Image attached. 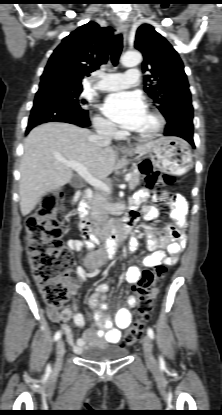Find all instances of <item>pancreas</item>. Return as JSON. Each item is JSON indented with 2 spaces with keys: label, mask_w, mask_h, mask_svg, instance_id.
I'll return each instance as SVG.
<instances>
[{
  "label": "pancreas",
  "mask_w": 222,
  "mask_h": 415,
  "mask_svg": "<svg viewBox=\"0 0 222 415\" xmlns=\"http://www.w3.org/2000/svg\"><path fill=\"white\" fill-rule=\"evenodd\" d=\"M140 182V172L134 171L131 173V179L129 181V189L133 190Z\"/></svg>",
  "instance_id": "1"
}]
</instances>
